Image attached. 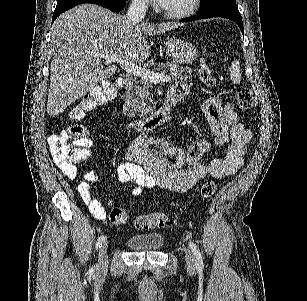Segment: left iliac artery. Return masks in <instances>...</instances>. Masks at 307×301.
<instances>
[{
	"label": "left iliac artery",
	"instance_id": "44dca946",
	"mask_svg": "<svg viewBox=\"0 0 307 301\" xmlns=\"http://www.w3.org/2000/svg\"><path fill=\"white\" fill-rule=\"evenodd\" d=\"M190 249L192 250L194 257H195V265L198 270L203 269V260H202V255L200 253L199 248L195 243L192 241L189 242Z\"/></svg>",
	"mask_w": 307,
	"mask_h": 301
}]
</instances>
